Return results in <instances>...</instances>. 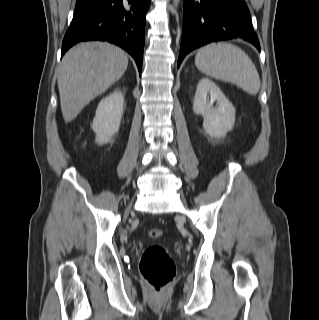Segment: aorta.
I'll list each match as a JSON object with an SVG mask.
<instances>
[{"instance_id":"1","label":"aorta","mask_w":319,"mask_h":320,"mask_svg":"<svg viewBox=\"0 0 319 320\" xmlns=\"http://www.w3.org/2000/svg\"><path fill=\"white\" fill-rule=\"evenodd\" d=\"M179 0H173L174 7H177Z\"/></svg>"}]
</instances>
